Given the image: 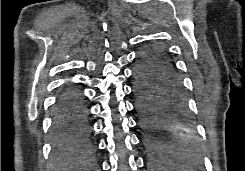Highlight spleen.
<instances>
[{"instance_id": "spleen-1", "label": "spleen", "mask_w": 245, "mask_h": 171, "mask_svg": "<svg viewBox=\"0 0 245 171\" xmlns=\"http://www.w3.org/2000/svg\"><path fill=\"white\" fill-rule=\"evenodd\" d=\"M185 171H194L193 169L185 170Z\"/></svg>"}]
</instances>
